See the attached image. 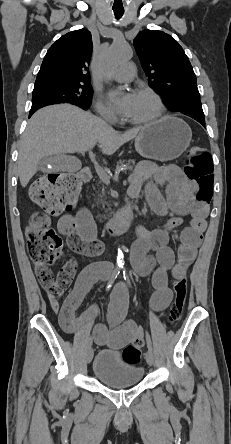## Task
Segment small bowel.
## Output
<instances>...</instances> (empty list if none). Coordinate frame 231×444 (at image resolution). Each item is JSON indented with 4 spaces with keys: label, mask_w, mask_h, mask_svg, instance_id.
Returning <instances> with one entry per match:
<instances>
[{
    "label": "small bowel",
    "mask_w": 231,
    "mask_h": 444,
    "mask_svg": "<svg viewBox=\"0 0 231 444\" xmlns=\"http://www.w3.org/2000/svg\"><path fill=\"white\" fill-rule=\"evenodd\" d=\"M157 186L165 188L166 196L160 193ZM141 190L145 191L153 210L166 220L162 226L152 231L141 225L136 228V239L131 248L130 259L138 274L152 275L154 292L149 304L153 310L162 311L172 300L170 278L185 277L187 268L196 258L209 208L207 203L196 200L194 184L175 165H141L131 178L128 191L132 197H136ZM185 216H190L192 223L182 233L176 261L174 251L168 245L169 234L182 223ZM58 231L66 236L68 246L81 255L95 257L104 250L103 244L95 237L92 218L85 210L76 216L63 215L58 222ZM108 271L109 266L105 263L87 265L80 272L74 288L62 305L59 301L62 293L47 292L50 307L57 314L64 331L77 332L95 320L98 314L95 305L90 306L80 316H76V311L93 284L104 279ZM127 306L126 289L122 285L116 287L109 307L112 327L95 324L91 334L95 343L117 350L131 342L143 340V327L140 324L131 319H119Z\"/></svg>",
    "instance_id": "c3829d8e"
}]
</instances>
